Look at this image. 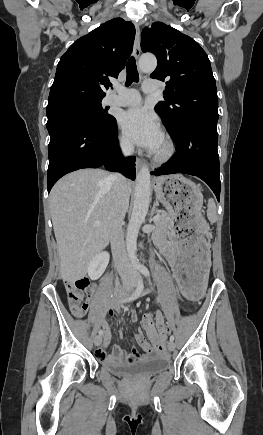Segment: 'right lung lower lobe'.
I'll return each instance as SVG.
<instances>
[{
	"instance_id": "right-lung-lower-lobe-1",
	"label": "right lung lower lobe",
	"mask_w": 263,
	"mask_h": 435,
	"mask_svg": "<svg viewBox=\"0 0 263 435\" xmlns=\"http://www.w3.org/2000/svg\"><path fill=\"white\" fill-rule=\"evenodd\" d=\"M47 129L50 135L48 193L58 179L81 168L104 166L135 179V157L123 159L115 118L106 125L82 118H65L54 121Z\"/></svg>"
}]
</instances>
